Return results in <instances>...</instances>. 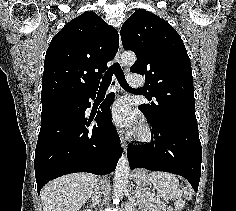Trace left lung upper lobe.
I'll return each mask as SVG.
<instances>
[{"instance_id": "left-lung-upper-lobe-1", "label": "left lung upper lobe", "mask_w": 236, "mask_h": 211, "mask_svg": "<svg viewBox=\"0 0 236 211\" xmlns=\"http://www.w3.org/2000/svg\"><path fill=\"white\" fill-rule=\"evenodd\" d=\"M120 34L124 49L137 56L130 71L145 75L149 103L139 109L150 120L197 124L191 63L179 34L143 9L127 19Z\"/></svg>"}]
</instances>
